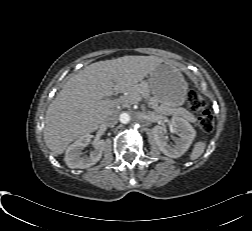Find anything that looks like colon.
Instances as JSON below:
<instances>
[{"label": "colon", "instance_id": "5ec220e1", "mask_svg": "<svg viewBox=\"0 0 252 231\" xmlns=\"http://www.w3.org/2000/svg\"><path fill=\"white\" fill-rule=\"evenodd\" d=\"M187 104L189 109L198 115V124L201 130L205 133H211L214 129V119L206 101L197 92L191 90L187 94Z\"/></svg>", "mask_w": 252, "mask_h": 231}]
</instances>
